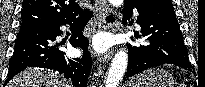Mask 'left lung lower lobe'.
I'll return each mask as SVG.
<instances>
[{
	"label": "left lung lower lobe",
	"mask_w": 205,
	"mask_h": 87,
	"mask_svg": "<svg viewBox=\"0 0 205 87\" xmlns=\"http://www.w3.org/2000/svg\"><path fill=\"white\" fill-rule=\"evenodd\" d=\"M134 8L139 14L136 23L141 26V35L135 37H145L146 44L128 45L124 82L148 68L167 63L192 71L171 0H127L123 9L124 25Z\"/></svg>",
	"instance_id": "1"
}]
</instances>
